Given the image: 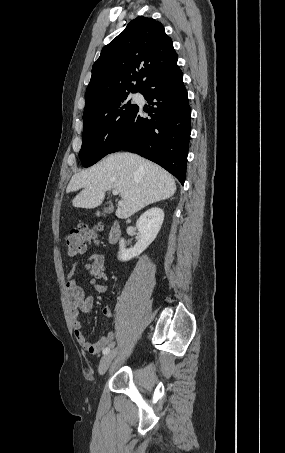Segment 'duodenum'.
<instances>
[{"label": "duodenum", "mask_w": 285, "mask_h": 453, "mask_svg": "<svg viewBox=\"0 0 285 453\" xmlns=\"http://www.w3.org/2000/svg\"><path fill=\"white\" fill-rule=\"evenodd\" d=\"M121 234V229L119 224L115 221L110 227L109 233H108V241L110 243H115L119 239Z\"/></svg>", "instance_id": "410a0bca"}]
</instances>
